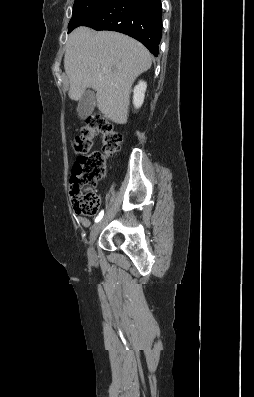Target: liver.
<instances>
[{
    "mask_svg": "<svg viewBox=\"0 0 254 397\" xmlns=\"http://www.w3.org/2000/svg\"><path fill=\"white\" fill-rule=\"evenodd\" d=\"M151 65L148 50L131 37L78 27L69 35L64 56L69 96L79 100L87 88H92L99 111L111 121L125 124L131 87Z\"/></svg>",
    "mask_w": 254,
    "mask_h": 397,
    "instance_id": "obj_1",
    "label": "liver"
}]
</instances>
